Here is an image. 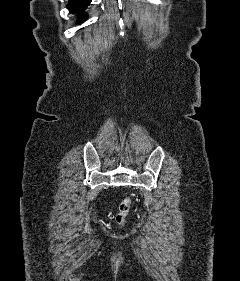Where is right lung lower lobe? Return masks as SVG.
Returning a JSON list of instances; mask_svg holds the SVG:
<instances>
[{
	"label": "right lung lower lobe",
	"mask_w": 240,
	"mask_h": 281,
	"mask_svg": "<svg viewBox=\"0 0 240 281\" xmlns=\"http://www.w3.org/2000/svg\"><path fill=\"white\" fill-rule=\"evenodd\" d=\"M91 0H69L68 9L71 12H75L78 14L79 18L81 17L83 20H86L87 13L84 10L90 4Z\"/></svg>",
	"instance_id": "obj_1"
}]
</instances>
